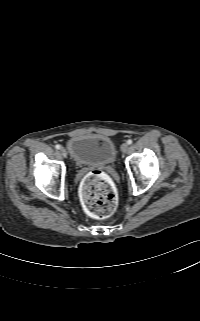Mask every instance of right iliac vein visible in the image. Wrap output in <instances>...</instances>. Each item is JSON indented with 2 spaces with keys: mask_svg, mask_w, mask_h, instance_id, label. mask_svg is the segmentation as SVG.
<instances>
[{
  "mask_svg": "<svg viewBox=\"0 0 200 321\" xmlns=\"http://www.w3.org/2000/svg\"><path fill=\"white\" fill-rule=\"evenodd\" d=\"M60 153L62 154V156L66 157V150L62 147L60 148Z\"/></svg>",
  "mask_w": 200,
  "mask_h": 321,
  "instance_id": "63e3f726",
  "label": "right iliac vein"
}]
</instances>
